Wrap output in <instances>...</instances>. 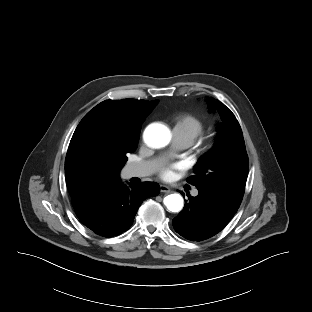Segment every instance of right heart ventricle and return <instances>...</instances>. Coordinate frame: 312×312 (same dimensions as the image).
Returning a JSON list of instances; mask_svg holds the SVG:
<instances>
[{
  "label": "right heart ventricle",
  "mask_w": 312,
  "mask_h": 312,
  "mask_svg": "<svg viewBox=\"0 0 312 312\" xmlns=\"http://www.w3.org/2000/svg\"><path fill=\"white\" fill-rule=\"evenodd\" d=\"M205 130L201 119L192 114H182L175 119L173 133L186 138L190 144Z\"/></svg>",
  "instance_id": "obj_1"
}]
</instances>
